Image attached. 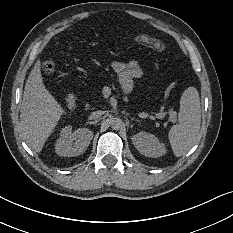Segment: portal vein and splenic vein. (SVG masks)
<instances>
[{
  "label": "portal vein and splenic vein",
  "mask_w": 233,
  "mask_h": 233,
  "mask_svg": "<svg viewBox=\"0 0 233 233\" xmlns=\"http://www.w3.org/2000/svg\"><path fill=\"white\" fill-rule=\"evenodd\" d=\"M141 118H149V117H151V115L149 114V113H147V112H143V113H140V115H139ZM154 116L156 117V118H162V116H160L158 113H154ZM173 120H175V118H172Z\"/></svg>",
  "instance_id": "1"
}]
</instances>
